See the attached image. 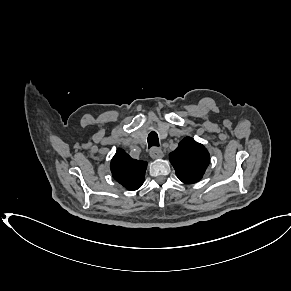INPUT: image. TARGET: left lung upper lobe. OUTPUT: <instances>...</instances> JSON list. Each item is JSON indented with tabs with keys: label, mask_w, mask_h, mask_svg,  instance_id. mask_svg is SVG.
Here are the masks:
<instances>
[{
	"label": "left lung upper lobe",
	"mask_w": 291,
	"mask_h": 291,
	"mask_svg": "<svg viewBox=\"0 0 291 291\" xmlns=\"http://www.w3.org/2000/svg\"><path fill=\"white\" fill-rule=\"evenodd\" d=\"M169 156L177 177L186 184L198 182L210 162L207 149L191 137L184 138Z\"/></svg>",
	"instance_id": "1"
}]
</instances>
